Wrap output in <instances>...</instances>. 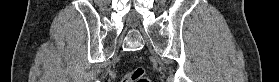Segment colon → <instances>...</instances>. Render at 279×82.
<instances>
[{"label":"colon","mask_w":279,"mask_h":82,"mask_svg":"<svg viewBox=\"0 0 279 82\" xmlns=\"http://www.w3.org/2000/svg\"><path fill=\"white\" fill-rule=\"evenodd\" d=\"M122 82H149V78L143 68H137L125 74Z\"/></svg>","instance_id":"obj_1"}]
</instances>
